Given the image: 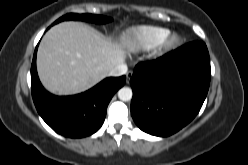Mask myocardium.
<instances>
[{"label":"myocardium","instance_id":"1","mask_svg":"<svg viewBox=\"0 0 248 165\" xmlns=\"http://www.w3.org/2000/svg\"><path fill=\"white\" fill-rule=\"evenodd\" d=\"M180 42V37L177 34H168L157 46L155 53L158 55L165 54L173 50Z\"/></svg>","mask_w":248,"mask_h":165}]
</instances>
